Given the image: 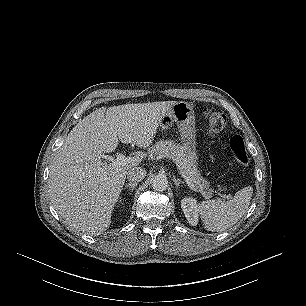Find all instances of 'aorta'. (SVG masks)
Segmentation results:
<instances>
[{"label":"aorta","mask_w":306,"mask_h":306,"mask_svg":"<svg viewBox=\"0 0 306 306\" xmlns=\"http://www.w3.org/2000/svg\"><path fill=\"white\" fill-rule=\"evenodd\" d=\"M168 186L167 177L163 174L155 176L152 180V187L156 191H164Z\"/></svg>","instance_id":"1"}]
</instances>
